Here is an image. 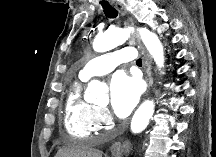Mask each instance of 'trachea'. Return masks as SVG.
I'll list each match as a JSON object with an SVG mask.
<instances>
[{
    "instance_id": "obj_1",
    "label": "trachea",
    "mask_w": 216,
    "mask_h": 157,
    "mask_svg": "<svg viewBox=\"0 0 216 157\" xmlns=\"http://www.w3.org/2000/svg\"><path fill=\"white\" fill-rule=\"evenodd\" d=\"M101 5L103 7L104 13L108 18H116L118 15V11L111 6L107 1H101ZM137 65H142L141 59L136 61Z\"/></svg>"
}]
</instances>
